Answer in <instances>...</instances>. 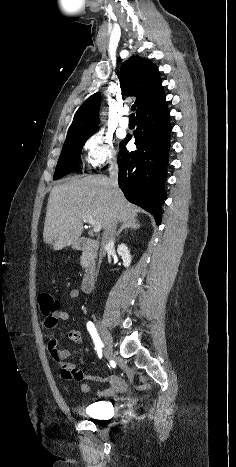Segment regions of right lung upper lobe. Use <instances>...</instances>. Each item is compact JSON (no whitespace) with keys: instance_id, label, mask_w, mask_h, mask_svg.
<instances>
[{"instance_id":"right-lung-upper-lobe-1","label":"right lung upper lobe","mask_w":236,"mask_h":467,"mask_svg":"<svg viewBox=\"0 0 236 467\" xmlns=\"http://www.w3.org/2000/svg\"><path fill=\"white\" fill-rule=\"evenodd\" d=\"M120 84L125 96H136L137 115L165 97L157 66L141 57L131 56L123 63ZM100 101L101 95L97 92L82 104L75 113L67 135L98 129Z\"/></svg>"}]
</instances>
